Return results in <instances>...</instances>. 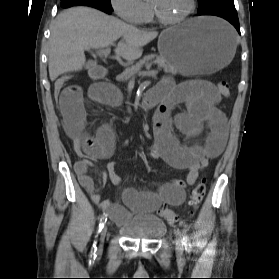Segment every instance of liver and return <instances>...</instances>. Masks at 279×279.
<instances>
[{
  "mask_svg": "<svg viewBox=\"0 0 279 279\" xmlns=\"http://www.w3.org/2000/svg\"><path fill=\"white\" fill-rule=\"evenodd\" d=\"M158 35L145 31L89 7H72L61 12L51 27L49 76L80 71L86 61L84 51L113 45L121 38L115 53L127 61L141 57L142 47Z\"/></svg>",
  "mask_w": 279,
  "mask_h": 279,
  "instance_id": "obj_1",
  "label": "liver"
}]
</instances>
